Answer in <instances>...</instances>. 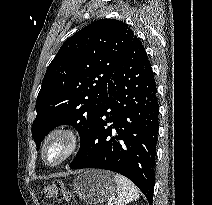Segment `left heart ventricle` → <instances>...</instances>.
Returning a JSON list of instances; mask_svg holds the SVG:
<instances>
[{
  "label": "left heart ventricle",
  "instance_id": "1",
  "mask_svg": "<svg viewBox=\"0 0 212 205\" xmlns=\"http://www.w3.org/2000/svg\"><path fill=\"white\" fill-rule=\"evenodd\" d=\"M62 151V145L59 142H54L47 150V158L55 160L59 157Z\"/></svg>",
  "mask_w": 212,
  "mask_h": 205
}]
</instances>
